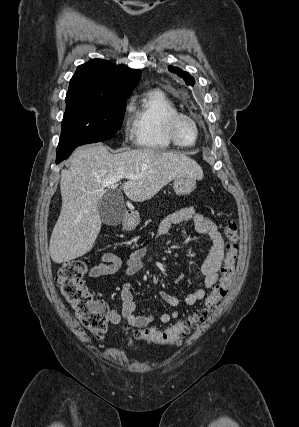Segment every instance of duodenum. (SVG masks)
Listing matches in <instances>:
<instances>
[{
  "mask_svg": "<svg viewBox=\"0 0 299 427\" xmlns=\"http://www.w3.org/2000/svg\"><path fill=\"white\" fill-rule=\"evenodd\" d=\"M131 217V212H128V218H130Z\"/></svg>",
  "mask_w": 299,
  "mask_h": 427,
  "instance_id": "duodenum-1",
  "label": "duodenum"
}]
</instances>
